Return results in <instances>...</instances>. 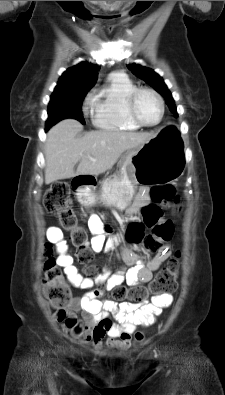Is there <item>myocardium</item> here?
Returning a JSON list of instances; mask_svg holds the SVG:
<instances>
[{
  "label": "myocardium",
  "mask_w": 225,
  "mask_h": 395,
  "mask_svg": "<svg viewBox=\"0 0 225 395\" xmlns=\"http://www.w3.org/2000/svg\"><path fill=\"white\" fill-rule=\"evenodd\" d=\"M142 93L151 94L152 96H154L156 98V100L159 103L160 116H159L158 121L153 124H148V123L143 122L137 114L136 103H137L138 97ZM126 109H127V114L129 116V118L136 125H138L140 127L151 128V127H155V126L159 125L162 122V120L164 118V114H165V103H164L162 96L156 90L149 88V87H137L129 94L127 101H126Z\"/></svg>",
  "instance_id": "f54148a6"
}]
</instances>
